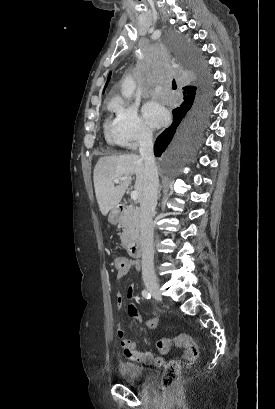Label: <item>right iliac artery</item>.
Segmentation results:
<instances>
[{
	"label": "right iliac artery",
	"instance_id": "82829eb1",
	"mask_svg": "<svg viewBox=\"0 0 275 409\" xmlns=\"http://www.w3.org/2000/svg\"><path fill=\"white\" fill-rule=\"evenodd\" d=\"M142 296L146 299H150L151 298V294L148 290H143L142 291Z\"/></svg>",
	"mask_w": 275,
	"mask_h": 409
}]
</instances>
